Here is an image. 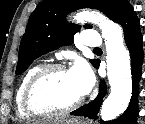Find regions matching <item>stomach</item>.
Masks as SVG:
<instances>
[{
  "label": "stomach",
  "instance_id": "obj_1",
  "mask_svg": "<svg viewBox=\"0 0 145 124\" xmlns=\"http://www.w3.org/2000/svg\"><path fill=\"white\" fill-rule=\"evenodd\" d=\"M48 124H91V123H87V122L79 120V119L61 118V119L53 120V121L49 122Z\"/></svg>",
  "mask_w": 145,
  "mask_h": 124
}]
</instances>
